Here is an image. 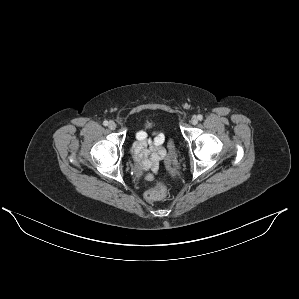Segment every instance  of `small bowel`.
<instances>
[{
  "mask_svg": "<svg viewBox=\"0 0 299 299\" xmlns=\"http://www.w3.org/2000/svg\"><path fill=\"white\" fill-rule=\"evenodd\" d=\"M164 136L161 133H154L149 136L146 131H139L136 134V141L133 144L132 152L135 161L140 169L146 173L148 179H152L159 169V164L166 154L162 147Z\"/></svg>",
  "mask_w": 299,
  "mask_h": 299,
  "instance_id": "c3829d8e",
  "label": "small bowel"
}]
</instances>
